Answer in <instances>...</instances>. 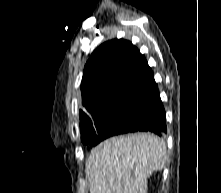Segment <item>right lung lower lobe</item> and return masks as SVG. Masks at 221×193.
<instances>
[{
	"label": "right lung lower lobe",
	"mask_w": 221,
	"mask_h": 193,
	"mask_svg": "<svg viewBox=\"0 0 221 193\" xmlns=\"http://www.w3.org/2000/svg\"><path fill=\"white\" fill-rule=\"evenodd\" d=\"M150 105L151 108L144 117L120 134L140 131L152 132L158 136H164L167 133L166 118L159 91H157L154 97L150 100Z\"/></svg>",
	"instance_id": "obj_1"
}]
</instances>
